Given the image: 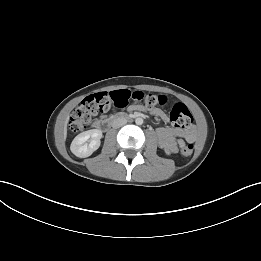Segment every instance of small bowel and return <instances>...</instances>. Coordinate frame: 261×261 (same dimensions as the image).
I'll list each match as a JSON object with an SVG mask.
<instances>
[{"label":"small bowel","instance_id":"c3829d8e","mask_svg":"<svg viewBox=\"0 0 261 261\" xmlns=\"http://www.w3.org/2000/svg\"><path fill=\"white\" fill-rule=\"evenodd\" d=\"M143 111L142 107L137 108ZM150 113L164 122H169V117L162 110L154 108L150 110ZM156 136L159 146L170 152L176 153L180 147L184 145V140L193 141L195 139V131L192 128L181 129L174 126H167L157 129Z\"/></svg>","mask_w":261,"mask_h":261}]
</instances>
